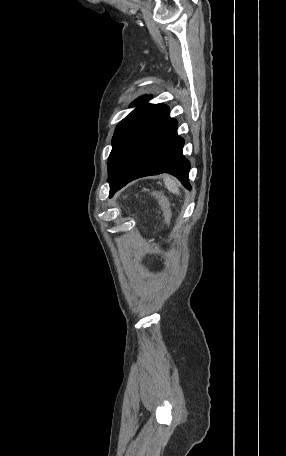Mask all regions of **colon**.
I'll use <instances>...</instances> for the list:
<instances>
[{
	"label": "colon",
	"mask_w": 286,
	"mask_h": 456,
	"mask_svg": "<svg viewBox=\"0 0 286 456\" xmlns=\"http://www.w3.org/2000/svg\"><path fill=\"white\" fill-rule=\"evenodd\" d=\"M161 203H162L163 207H164L165 209H167V207H168L167 201H166L165 199L161 198Z\"/></svg>",
	"instance_id": "obj_1"
}]
</instances>
